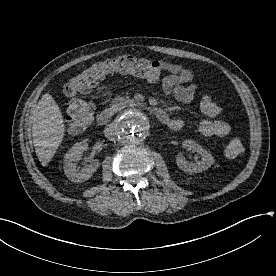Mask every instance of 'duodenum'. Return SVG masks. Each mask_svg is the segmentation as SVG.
Segmentation results:
<instances>
[{"label": "duodenum", "mask_w": 276, "mask_h": 276, "mask_svg": "<svg viewBox=\"0 0 276 276\" xmlns=\"http://www.w3.org/2000/svg\"><path fill=\"white\" fill-rule=\"evenodd\" d=\"M148 111L161 123H167L169 120L168 114L159 107H149ZM114 116V112L110 108L101 110L97 115V121L101 125L108 124Z\"/></svg>", "instance_id": "duodenum-1"}]
</instances>
